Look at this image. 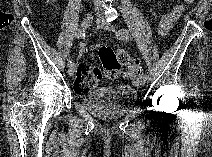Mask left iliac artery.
<instances>
[{"label":"left iliac artery","instance_id":"left-iliac-artery-1","mask_svg":"<svg viewBox=\"0 0 212 157\" xmlns=\"http://www.w3.org/2000/svg\"><path fill=\"white\" fill-rule=\"evenodd\" d=\"M116 36H117L118 39L128 40L129 39V32L126 29H120L116 33ZM143 78L145 79V81L151 80V77L147 73L143 74Z\"/></svg>","mask_w":212,"mask_h":157}]
</instances>
